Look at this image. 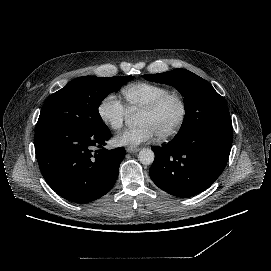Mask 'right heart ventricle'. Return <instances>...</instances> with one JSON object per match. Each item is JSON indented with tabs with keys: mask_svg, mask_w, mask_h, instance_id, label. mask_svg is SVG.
Here are the masks:
<instances>
[{
	"mask_svg": "<svg viewBox=\"0 0 271 271\" xmlns=\"http://www.w3.org/2000/svg\"><path fill=\"white\" fill-rule=\"evenodd\" d=\"M169 91L170 89L164 85L150 82L132 83L121 90L129 112L140 111Z\"/></svg>",
	"mask_w": 271,
	"mask_h": 271,
	"instance_id": "e07e8e85",
	"label": "right heart ventricle"
}]
</instances>
